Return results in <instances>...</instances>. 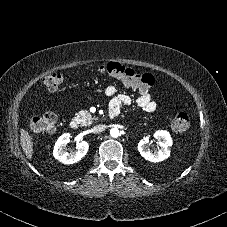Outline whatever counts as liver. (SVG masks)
Masks as SVG:
<instances>
[{"label": "liver", "mask_w": 227, "mask_h": 227, "mask_svg": "<svg viewBox=\"0 0 227 227\" xmlns=\"http://www.w3.org/2000/svg\"><path fill=\"white\" fill-rule=\"evenodd\" d=\"M20 142L26 157L28 159H32L33 141H32V137L25 129L20 130Z\"/></svg>", "instance_id": "liver-1"}]
</instances>
